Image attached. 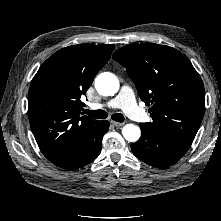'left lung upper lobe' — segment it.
<instances>
[{"mask_svg": "<svg viewBox=\"0 0 221 221\" xmlns=\"http://www.w3.org/2000/svg\"><path fill=\"white\" fill-rule=\"evenodd\" d=\"M113 59L123 65L142 101L151 105L147 126L193 140L205 110L200 75L178 50L152 43L120 48Z\"/></svg>", "mask_w": 221, "mask_h": 221, "instance_id": "5c2ea615", "label": "left lung upper lobe"}]
</instances>
